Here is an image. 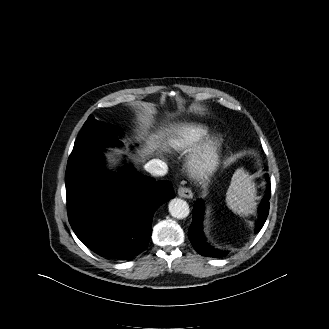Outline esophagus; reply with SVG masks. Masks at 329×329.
I'll use <instances>...</instances> for the list:
<instances>
[{"instance_id": "obj_1", "label": "esophagus", "mask_w": 329, "mask_h": 329, "mask_svg": "<svg viewBox=\"0 0 329 329\" xmlns=\"http://www.w3.org/2000/svg\"><path fill=\"white\" fill-rule=\"evenodd\" d=\"M178 195L183 198H192L193 197V193H192L191 189L184 187V186H180L178 188Z\"/></svg>"}]
</instances>
